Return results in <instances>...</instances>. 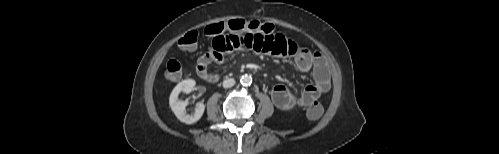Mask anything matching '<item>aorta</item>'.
Returning <instances> with one entry per match:
<instances>
[{"label":"aorta","instance_id":"762f6f07","mask_svg":"<svg viewBox=\"0 0 499 154\" xmlns=\"http://www.w3.org/2000/svg\"><path fill=\"white\" fill-rule=\"evenodd\" d=\"M240 83L243 85V86H250L251 83H252V77L250 75H243L240 79Z\"/></svg>","mask_w":499,"mask_h":154}]
</instances>
